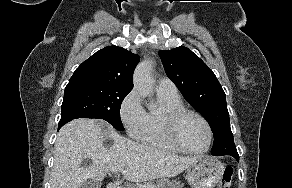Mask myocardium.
<instances>
[{
	"label": "myocardium",
	"instance_id": "obj_1",
	"mask_svg": "<svg viewBox=\"0 0 292 188\" xmlns=\"http://www.w3.org/2000/svg\"><path fill=\"white\" fill-rule=\"evenodd\" d=\"M188 115H192L200 119L203 124L205 125V128L207 130L208 134V142L207 145L204 149L202 150H192L187 148L180 140L179 135H178V127L180 122L182 121L183 118H185ZM162 125L164 132L169 139V141L180 151L189 153V154H194V155H201L206 152H208L212 146L213 142V131L211 128L210 123L208 120L199 112L195 110H191L185 107L178 108V109H173V110H168L164 112L162 116Z\"/></svg>",
	"mask_w": 292,
	"mask_h": 188
}]
</instances>
